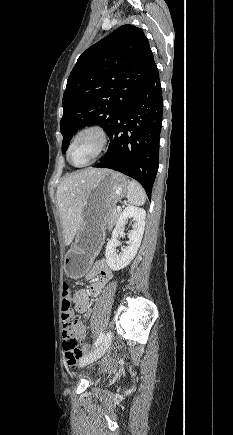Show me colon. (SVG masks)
Segmentation results:
<instances>
[{
    "label": "colon",
    "mask_w": 233,
    "mask_h": 435,
    "mask_svg": "<svg viewBox=\"0 0 233 435\" xmlns=\"http://www.w3.org/2000/svg\"><path fill=\"white\" fill-rule=\"evenodd\" d=\"M62 304L61 309L63 317H69L72 313V302L70 295V286L64 282L61 291ZM63 348L65 352V362L74 368L81 357L79 348L78 332L74 326H69L64 329Z\"/></svg>",
    "instance_id": "5ec220e1"
}]
</instances>
